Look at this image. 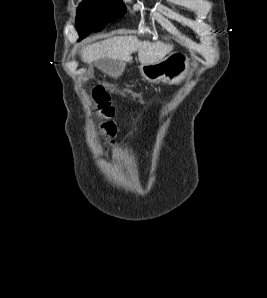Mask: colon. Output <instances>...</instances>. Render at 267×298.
Wrapping results in <instances>:
<instances>
[{
  "instance_id": "colon-1",
  "label": "colon",
  "mask_w": 267,
  "mask_h": 298,
  "mask_svg": "<svg viewBox=\"0 0 267 298\" xmlns=\"http://www.w3.org/2000/svg\"><path fill=\"white\" fill-rule=\"evenodd\" d=\"M93 98L99 106L101 112L107 116H110V103L109 96L105 89L102 86H96L93 89ZM103 130L106 132V136L112 134V130H107L106 127H103Z\"/></svg>"
}]
</instances>
